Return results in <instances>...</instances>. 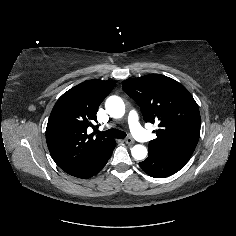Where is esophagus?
<instances>
[{"label": "esophagus", "instance_id": "esophagus-1", "mask_svg": "<svg viewBox=\"0 0 236 236\" xmlns=\"http://www.w3.org/2000/svg\"><path fill=\"white\" fill-rule=\"evenodd\" d=\"M124 141H125V143L128 144V145L134 144V140H133L131 137L126 138Z\"/></svg>", "mask_w": 236, "mask_h": 236}]
</instances>
